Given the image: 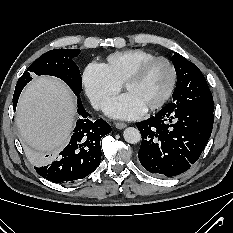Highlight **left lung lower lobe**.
<instances>
[{
    "label": "left lung lower lobe",
    "mask_w": 233,
    "mask_h": 233,
    "mask_svg": "<svg viewBox=\"0 0 233 233\" xmlns=\"http://www.w3.org/2000/svg\"><path fill=\"white\" fill-rule=\"evenodd\" d=\"M213 120V112L166 105L155 116L137 123L143 139L140 163L158 176L187 171L205 148Z\"/></svg>",
    "instance_id": "obj_1"
}]
</instances>
